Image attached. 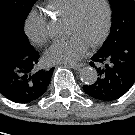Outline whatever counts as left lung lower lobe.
Masks as SVG:
<instances>
[{
    "label": "left lung lower lobe",
    "instance_id": "obj_1",
    "mask_svg": "<svg viewBox=\"0 0 135 135\" xmlns=\"http://www.w3.org/2000/svg\"><path fill=\"white\" fill-rule=\"evenodd\" d=\"M90 65L97 69L98 78L94 84L84 85L83 90L102 101L120 98L135 82V35L100 49Z\"/></svg>",
    "mask_w": 135,
    "mask_h": 135
}]
</instances>
